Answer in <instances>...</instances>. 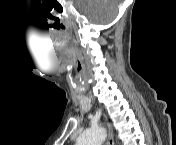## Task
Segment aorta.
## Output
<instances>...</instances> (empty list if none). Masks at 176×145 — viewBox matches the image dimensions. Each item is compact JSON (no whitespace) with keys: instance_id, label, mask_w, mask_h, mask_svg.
Wrapping results in <instances>:
<instances>
[{"instance_id":"aorta-1","label":"aorta","mask_w":176,"mask_h":145,"mask_svg":"<svg viewBox=\"0 0 176 145\" xmlns=\"http://www.w3.org/2000/svg\"><path fill=\"white\" fill-rule=\"evenodd\" d=\"M106 138V130L103 127H93L84 131L77 139L78 145H102Z\"/></svg>"}]
</instances>
